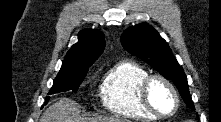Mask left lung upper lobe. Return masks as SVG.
Returning a JSON list of instances; mask_svg holds the SVG:
<instances>
[{
	"mask_svg": "<svg viewBox=\"0 0 221 122\" xmlns=\"http://www.w3.org/2000/svg\"><path fill=\"white\" fill-rule=\"evenodd\" d=\"M124 48L142 59L165 78L173 80L183 100L194 108L187 77L166 41L147 23H141L125 30L121 36Z\"/></svg>",
	"mask_w": 221,
	"mask_h": 122,
	"instance_id": "5c2ea615",
	"label": "left lung upper lobe"
}]
</instances>
